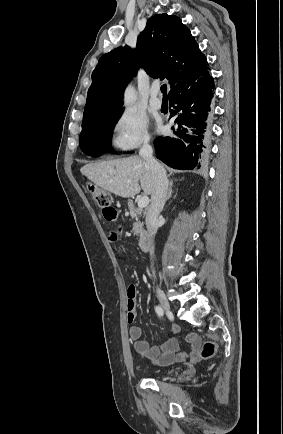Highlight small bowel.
Segmentation results:
<instances>
[{
    "instance_id": "small-bowel-1",
    "label": "small bowel",
    "mask_w": 283,
    "mask_h": 434,
    "mask_svg": "<svg viewBox=\"0 0 283 434\" xmlns=\"http://www.w3.org/2000/svg\"><path fill=\"white\" fill-rule=\"evenodd\" d=\"M102 214L107 221L117 220V211L112 206L102 208ZM120 232V229L110 230L108 240L112 243L116 242L120 238ZM136 317V288L134 285H130L127 288V321L130 324L129 336L133 341V347L137 355L161 366L174 362H184L187 359L191 362L200 360L199 348L201 346V339L197 334L189 333L186 336V342L191 347L189 353L179 351V343L174 337L168 338L161 345L151 346L148 341L141 339L142 329L135 325ZM179 330L178 325L172 326L174 334L178 333Z\"/></svg>"
}]
</instances>
